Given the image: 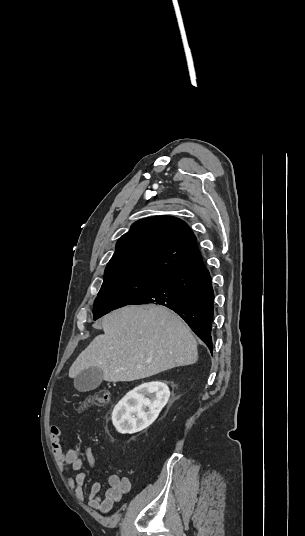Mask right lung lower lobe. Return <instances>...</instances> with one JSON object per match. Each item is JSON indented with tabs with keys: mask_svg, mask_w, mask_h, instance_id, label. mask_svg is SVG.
Returning a JSON list of instances; mask_svg holds the SVG:
<instances>
[{
	"mask_svg": "<svg viewBox=\"0 0 305 536\" xmlns=\"http://www.w3.org/2000/svg\"><path fill=\"white\" fill-rule=\"evenodd\" d=\"M213 300L211 278L201 260L165 276L130 305L157 303L172 309L212 352Z\"/></svg>",
	"mask_w": 305,
	"mask_h": 536,
	"instance_id": "98d812e1",
	"label": "right lung lower lobe"
}]
</instances>
